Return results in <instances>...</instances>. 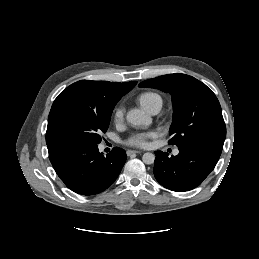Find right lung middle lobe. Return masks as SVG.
<instances>
[{
  "label": "right lung middle lobe",
  "instance_id": "1",
  "mask_svg": "<svg viewBox=\"0 0 259 259\" xmlns=\"http://www.w3.org/2000/svg\"><path fill=\"white\" fill-rule=\"evenodd\" d=\"M113 110L98 109L77 101H63L51 108L47 145L99 144L109 127Z\"/></svg>",
  "mask_w": 259,
  "mask_h": 259
}]
</instances>
